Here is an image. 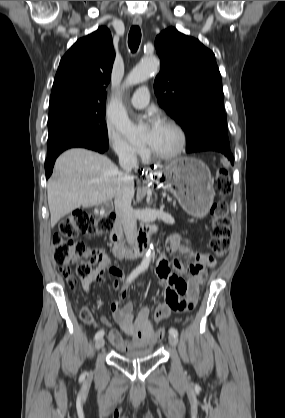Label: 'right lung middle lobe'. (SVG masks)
I'll return each mask as SVG.
<instances>
[{"label": "right lung middle lobe", "mask_w": 285, "mask_h": 418, "mask_svg": "<svg viewBox=\"0 0 285 418\" xmlns=\"http://www.w3.org/2000/svg\"><path fill=\"white\" fill-rule=\"evenodd\" d=\"M105 104L60 101L49 104L47 153L80 138L108 142Z\"/></svg>", "instance_id": "1"}]
</instances>
